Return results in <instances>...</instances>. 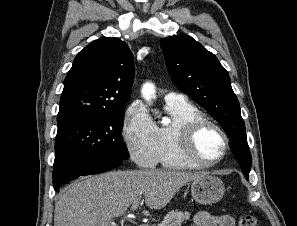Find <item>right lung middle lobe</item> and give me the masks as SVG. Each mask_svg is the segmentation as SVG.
Here are the masks:
<instances>
[{
  "instance_id": "dd1d6c3e",
  "label": "right lung middle lobe",
  "mask_w": 297,
  "mask_h": 226,
  "mask_svg": "<svg viewBox=\"0 0 297 226\" xmlns=\"http://www.w3.org/2000/svg\"><path fill=\"white\" fill-rule=\"evenodd\" d=\"M123 121V112L78 114L58 120L55 160L88 153L128 159L122 138Z\"/></svg>"
}]
</instances>
